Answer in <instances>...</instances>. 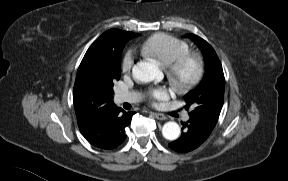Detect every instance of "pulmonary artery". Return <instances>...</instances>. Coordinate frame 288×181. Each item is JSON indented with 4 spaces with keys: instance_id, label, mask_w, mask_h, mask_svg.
<instances>
[{
    "instance_id": "obj_1",
    "label": "pulmonary artery",
    "mask_w": 288,
    "mask_h": 181,
    "mask_svg": "<svg viewBox=\"0 0 288 181\" xmlns=\"http://www.w3.org/2000/svg\"><path fill=\"white\" fill-rule=\"evenodd\" d=\"M138 100V95L134 92L128 91H118L115 94V101L117 103H124V102H136ZM189 116L185 115L184 120H188Z\"/></svg>"
}]
</instances>
